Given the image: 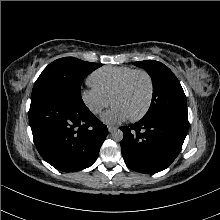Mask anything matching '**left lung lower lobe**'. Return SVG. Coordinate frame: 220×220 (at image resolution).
<instances>
[{
  "instance_id": "obj_1",
  "label": "left lung lower lobe",
  "mask_w": 220,
  "mask_h": 220,
  "mask_svg": "<svg viewBox=\"0 0 220 220\" xmlns=\"http://www.w3.org/2000/svg\"><path fill=\"white\" fill-rule=\"evenodd\" d=\"M121 152L126 165L137 172L154 174L166 169L178 156L188 126L158 117L120 127Z\"/></svg>"
}]
</instances>
